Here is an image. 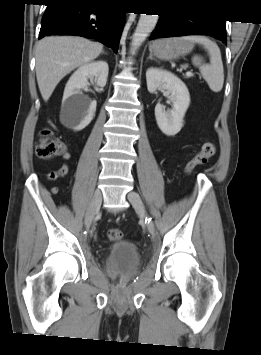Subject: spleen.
Returning a JSON list of instances; mask_svg holds the SVG:
<instances>
[{"instance_id": "obj_1", "label": "spleen", "mask_w": 261, "mask_h": 355, "mask_svg": "<svg viewBox=\"0 0 261 355\" xmlns=\"http://www.w3.org/2000/svg\"><path fill=\"white\" fill-rule=\"evenodd\" d=\"M181 39L201 44L207 50L210 58L209 64L203 63L198 56L193 57L192 62L199 68L209 88L214 92H220L224 83V70L218 45L205 36H184Z\"/></svg>"}]
</instances>
